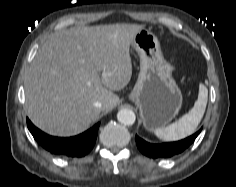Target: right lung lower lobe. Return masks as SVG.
<instances>
[{"label":"right lung lower lobe","instance_id":"1","mask_svg":"<svg viewBox=\"0 0 236 187\" xmlns=\"http://www.w3.org/2000/svg\"><path fill=\"white\" fill-rule=\"evenodd\" d=\"M99 125L100 123L95 124L92 128L80 135L61 138L53 137L42 132L27 119L28 129L39 145L51 154L67 157H83L87 155L94 147Z\"/></svg>","mask_w":236,"mask_h":187}]
</instances>
